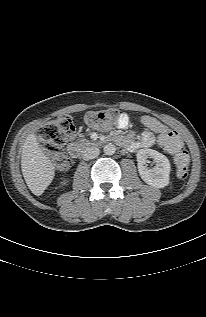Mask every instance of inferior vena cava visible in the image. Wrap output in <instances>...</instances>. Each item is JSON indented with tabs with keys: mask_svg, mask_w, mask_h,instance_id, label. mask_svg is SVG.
<instances>
[{
	"mask_svg": "<svg viewBox=\"0 0 206 317\" xmlns=\"http://www.w3.org/2000/svg\"><path fill=\"white\" fill-rule=\"evenodd\" d=\"M100 153V150L94 146H88L82 151V158L84 160H90L96 158Z\"/></svg>",
	"mask_w": 206,
	"mask_h": 317,
	"instance_id": "602c4592",
	"label": "inferior vena cava"
}]
</instances>
